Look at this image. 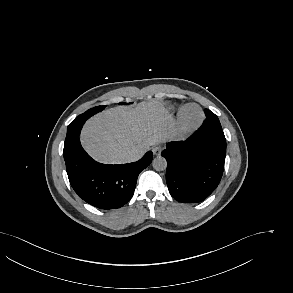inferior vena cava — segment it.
Segmentation results:
<instances>
[{
    "label": "inferior vena cava",
    "mask_w": 293,
    "mask_h": 293,
    "mask_svg": "<svg viewBox=\"0 0 293 293\" xmlns=\"http://www.w3.org/2000/svg\"><path fill=\"white\" fill-rule=\"evenodd\" d=\"M143 156L142 152H131L128 154V161L133 162L139 160Z\"/></svg>",
    "instance_id": "obj_1"
}]
</instances>
